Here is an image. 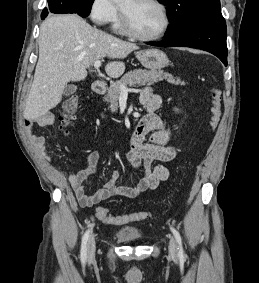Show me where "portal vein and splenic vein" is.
I'll use <instances>...</instances> for the list:
<instances>
[{
	"label": "portal vein and splenic vein",
	"mask_w": 259,
	"mask_h": 283,
	"mask_svg": "<svg viewBox=\"0 0 259 283\" xmlns=\"http://www.w3.org/2000/svg\"><path fill=\"white\" fill-rule=\"evenodd\" d=\"M100 66H101L100 60H97V61L94 62V68L96 70H99ZM120 89H121V93H125V94L128 93V91H129V89L124 85H120Z\"/></svg>",
	"instance_id": "obj_1"
}]
</instances>
